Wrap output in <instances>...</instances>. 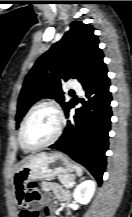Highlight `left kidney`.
<instances>
[{"label": "left kidney", "mask_w": 132, "mask_h": 217, "mask_svg": "<svg viewBox=\"0 0 132 217\" xmlns=\"http://www.w3.org/2000/svg\"><path fill=\"white\" fill-rule=\"evenodd\" d=\"M95 192V182L86 180L79 184L73 193L74 199L80 204H88Z\"/></svg>", "instance_id": "5707ae66"}]
</instances>
